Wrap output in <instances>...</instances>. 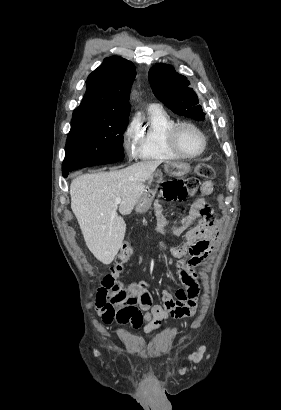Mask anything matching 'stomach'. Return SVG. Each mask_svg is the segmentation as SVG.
Masks as SVG:
<instances>
[{"mask_svg": "<svg viewBox=\"0 0 281 410\" xmlns=\"http://www.w3.org/2000/svg\"><path fill=\"white\" fill-rule=\"evenodd\" d=\"M164 171L171 176H182L190 171V166L186 163L167 161L164 164ZM161 182L162 173L158 170L147 180V186L136 204V212L145 213L149 210Z\"/></svg>", "mask_w": 281, "mask_h": 410, "instance_id": "obj_1", "label": "stomach"}]
</instances>
